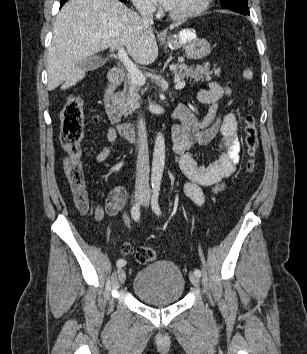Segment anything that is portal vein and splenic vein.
I'll return each mask as SVG.
<instances>
[{
    "mask_svg": "<svg viewBox=\"0 0 307 354\" xmlns=\"http://www.w3.org/2000/svg\"><path fill=\"white\" fill-rule=\"evenodd\" d=\"M118 60L125 66L128 71V76L131 80L137 85H144L146 79L141 71L136 67V65L129 59L127 52L124 48H120L116 55ZM176 85L175 89L180 90L183 89L186 85L185 81H180L179 79H175Z\"/></svg>",
    "mask_w": 307,
    "mask_h": 354,
    "instance_id": "18ae733b",
    "label": "portal vein and splenic vein"
}]
</instances>
